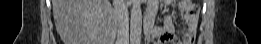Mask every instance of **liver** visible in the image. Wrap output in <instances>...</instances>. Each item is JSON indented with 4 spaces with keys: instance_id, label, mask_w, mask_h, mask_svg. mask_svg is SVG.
<instances>
[{
    "instance_id": "1",
    "label": "liver",
    "mask_w": 261,
    "mask_h": 44,
    "mask_svg": "<svg viewBox=\"0 0 261 44\" xmlns=\"http://www.w3.org/2000/svg\"><path fill=\"white\" fill-rule=\"evenodd\" d=\"M109 0H53L56 28L66 44H102L112 41L104 24H121L112 17Z\"/></svg>"
}]
</instances>
